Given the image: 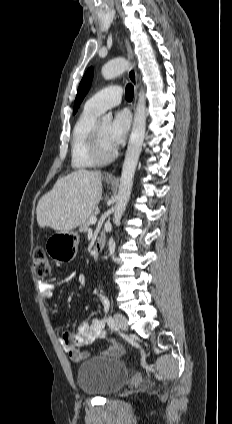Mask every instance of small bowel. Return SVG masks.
<instances>
[{
  "instance_id": "c3829d8e",
  "label": "small bowel",
  "mask_w": 232,
  "mask_h": 424,
  "mask_svg": "<svg viewBox=\"0 0 232 424\" xmlns=\"http://www.w3.org/2000/svg\"><path fill=\"white\" fill-rule=\"evenodd\" d=\"M75 275V272L71 273L66 280H72ZM38 287L44 299L48 300L52 297L53 285L51 283L40 281ZM95 293L98 295L103 305L108 303L107 297L100 290H96ZM104 327L105 324L102 318L98 317L92 321L83 320L78 325L76 332H71L69 330H64L62 332L60 340L61 346L73 362H81L87 358V353L82 351L81 348L91 345L97 339L105 338L106 333ZM105 353L112 356L121 354V352H117L111 344H109Z\"/></svg>"
}]
</instances>
